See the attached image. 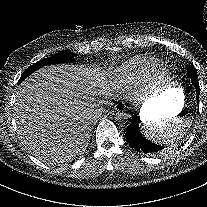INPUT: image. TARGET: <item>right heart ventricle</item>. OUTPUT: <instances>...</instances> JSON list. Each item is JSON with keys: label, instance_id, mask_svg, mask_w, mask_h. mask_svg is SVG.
Instances as JSON below:
<instances>
[{"label": "right heart ventricle", "instance_id": "1", "mask_svg": "<svg viewBox=\"0 0 207 207\" xmlns=\"http://www.w3.org/2000/svg\"><path fill=\"white\" fill-rule=\"evenodd\" d=\"M158 65V59L153 57L135 58L115 71L114 82L124 87L149 79Z\"/></svg>", "mask_w": 207, "mask_h": 207}]
</instances>
